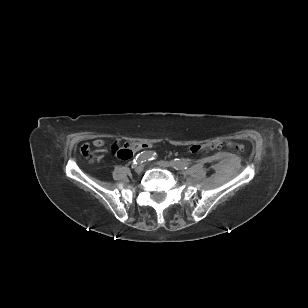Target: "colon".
Segmentation results:
<instances>
[{"mask_svg": "<svg viewBox=\"0 0 308 308\" xmlns=\"http://www.w3.org/2000/svg\"><path fill=\"white\" fill-rule=\"evenodd\" d=\"M223 145V142L220 140H213L209 141L205 144L202 145H193L188 148V151L190 153H198L203 150H213V149H218ZM230 146H234L238 150H242L243 147L241 145H234L232 143H228ZM151 144L148 142H138L134 143L131 141H126L123 145V147H118L116 150H114L115 155L119 159L127 160L129 159L132 155L136 154L137 151L145 150L148 151L151 149ZM81 154L82 157L84 158L85 161L87 162H93L96 158L94 152L90 149L88 145H83L81 148Z\"/></svg>", "mask_w": 308, "mask_h": 308, "instance_id": "obj_1", "label": "colon"}]
</instances>
